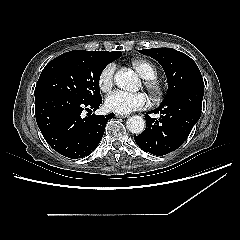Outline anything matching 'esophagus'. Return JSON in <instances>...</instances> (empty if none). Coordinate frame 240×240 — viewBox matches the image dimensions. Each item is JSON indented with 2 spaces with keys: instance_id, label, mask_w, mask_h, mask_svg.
Segmentation results:
<instances>
[{
  "instance_id": "obj_1",
  "label": "esophagus",
  "mask_w": 240,
  "mask_h": 240,
  "mask_svg": "<svg viewBox=\"0 0 240 240\" xmlns=\"http://www.w3.org/2000/svg\"><path fill=\"white\" fill-rule=\"evenodd\" d=\"M115 116L118 118H127L128 117V115H123V114H118V113H116Z\"/></svg>"
}]
</instances>
